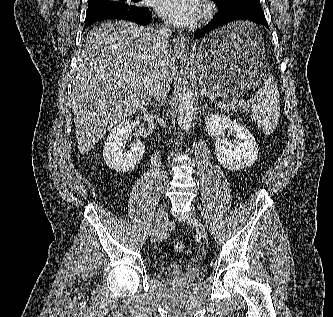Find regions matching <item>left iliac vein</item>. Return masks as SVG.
Here are the masks:
<instances>
[{"label":"left iliac vein","mask_w":333,"mask_h":317,"mask_svg":"<svg viewBox=\"0 0 333 317\" xmlns=\"http://www.w3.org/2000/svg\"><path fill=\"white\" fill-rule=\"evenodd\" d=\"M185 221L196 229L197 233L202 239L207 240V230L200 220H198L195 216L190 215L185 218Z\"/></svg>","instance_id":"1"}]
</instances>
